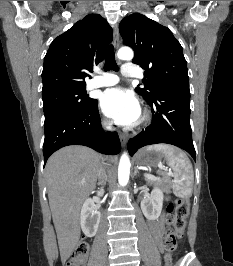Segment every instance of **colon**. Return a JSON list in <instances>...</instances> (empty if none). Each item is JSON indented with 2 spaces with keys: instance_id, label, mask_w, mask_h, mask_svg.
<instances>
[{
  "instance_id": "1",
  "label": "colon",
  "mask_w": 233,
  "mask_h": 266,
  "mask_svg": "<svg viewBox=\"0 0 233 266\" xmlns=\"http://www.w3.org/2000/svg\"><path fill=\"white\" fill-rule=\"evenodd\" d=\"M189 212V201L186 198L177 199L167 206V231L164 239V246L167 251L166 266H171V255L184 236ZM88 252L89 244L85 239H82L71 258L66 262V266H85Z\"/></svg>"
}]
</instances>
